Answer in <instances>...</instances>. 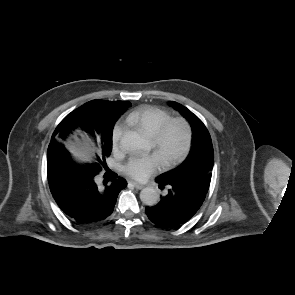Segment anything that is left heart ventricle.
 I'll return each mask as SVG.
<instances>
[{"label":"left heart ventricle","instance_id":"obj_1","mask_svg":"<svg viewBox=\"0 0 295 295\" xmlns=\"http://www.w3.org/2000/svg\"><path fill=\"white\" fill-rule=\"evenodd\" d=\"M183 141L184 136L181 130H179L178 128H173L169 132L162 149L157 152L163 162L166 159L176 155L180 151L183 145Z\"/></svg>","mask_w":295,"mask_h":295}]
</instances>
